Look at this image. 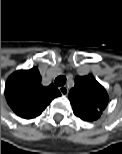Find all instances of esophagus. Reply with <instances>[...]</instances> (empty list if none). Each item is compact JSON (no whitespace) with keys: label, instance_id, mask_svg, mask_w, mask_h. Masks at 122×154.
<instances>
[{"label":"esophagus","instance_id":"obj_1","mask_svg":"<svg viewBox=\"0 0 122 154\" xmlns=\"http://www.w3.org/2000/svg\"><path fill=\"white\" fill-rule=\"evenodd\" d=\"M59 91L61 92L62 95L66 96L68 94V88L66 86H61L59 87Z\"/></svg>","mask_w":122,"mask_h":154}]
</instances>
